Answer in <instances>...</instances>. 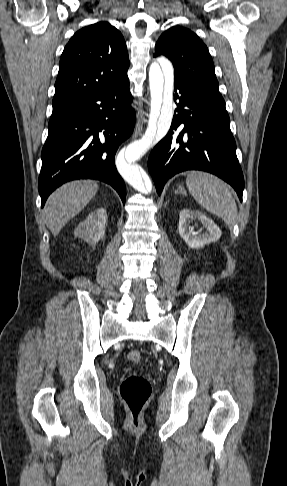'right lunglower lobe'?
<instances>
[{"mask_svg":"<svg viewBox=\"0 0 287 486\" xmlns=\"http://www.w3.org/2000/svg\"><path fill=\"white\" fill-rule=\"evenodd\" d=\"M131 101L128 81L53 111L41 154L38 184L42 207L50 193L63 183L87 178L110 184L125 203L126 187L114 158L133 131L135 113L129 108Z\"/></svg>","mask_w":287,"mask_h":486,"instance_id":"98d812e1","label":"right lung lower lobe"}]
</instances>
